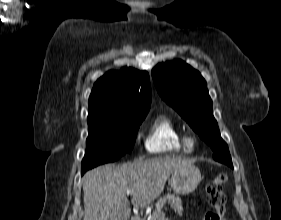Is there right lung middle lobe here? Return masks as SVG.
<instances>
[{
    "label": "right lung middle lobe",
    "instance_id": "obj_1",
    "mask_svg": "<svg viewBox=\"0 0 281 220\" xmlns=\"http://www.w3.org/2000/svg\"><path fill=\"white\" fill-rule=\"evenodd\" d=\"M146 115L109 121H88L87 148L82 173L118 160L133 149L136 134Z\"/></svg>",
    "mask_w": 281,
    "mask_h": 220
}]
</instances>
